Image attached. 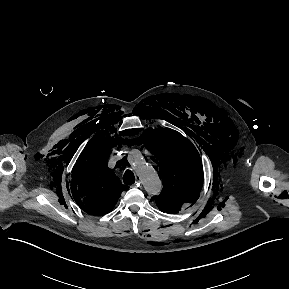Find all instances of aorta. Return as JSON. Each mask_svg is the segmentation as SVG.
I'll return each instance as SVG.
<instances>
[{
    "label": "aorta",
    "mask_w": 289,
    "mask_h": 289,
    "mask_svg": "<svg viewBox=\"0 0 289 289\" xmlns=\"http://www.w3.org/2000/svg\"><path fill=\"white\" fill-rule=\"evenodd\" d=\"M130 165L134 168L141 180L146 192L150 195H158L162 184L154 168L145 162L139 151H133L128 156Z\"/></svg>",
    "instance_id": "obj_1"
}]
</instances>
